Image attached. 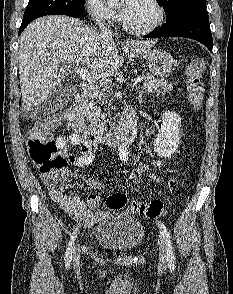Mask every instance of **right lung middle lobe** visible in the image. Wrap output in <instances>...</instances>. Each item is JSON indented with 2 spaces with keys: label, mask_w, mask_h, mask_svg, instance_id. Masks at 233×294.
<instances>
[{
  "label": "right lung middle lobe",
  "mask_w": 233,
  "mask_h": 294,
  "mask_svg": "<svg viewBox=\"0 0 233 294\" xmlns=\"http://www.w3.org/2000/svg\"><path fill=\"white\" fill-rule=\"evenodd\" d=\"M85 0H29L22 23L45 15L82 17Z\"/></svg>",
  "instance_id": "obj_1"
}]
</instances>
